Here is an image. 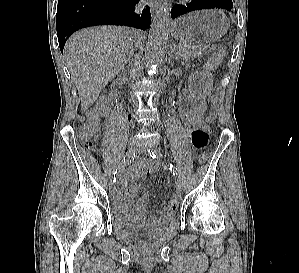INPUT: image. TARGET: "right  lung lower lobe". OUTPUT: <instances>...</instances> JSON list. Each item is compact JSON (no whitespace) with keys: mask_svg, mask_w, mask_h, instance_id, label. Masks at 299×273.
<instances>
[{"mask_svg":"<svg viewBox=\"0 0 299 273\" xmlns=\"http://www.w3.org/2000/svg\"><path fill=\"white\" fill-rule=\"evenodd\" d=\"M139 0H58L56 29L61 52L75 31L95 25H125L142 30L151 23L149 7L134 13Z\"/></svg>","mask_w":299,"mask_h":273,"instance_id":"1","label":"right lung lower lobe"}]
</instances>
